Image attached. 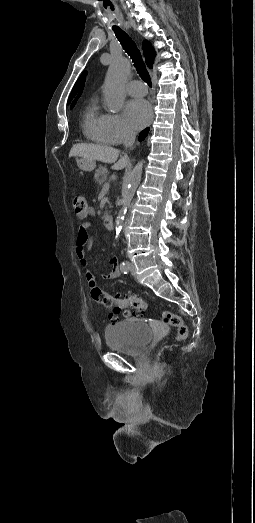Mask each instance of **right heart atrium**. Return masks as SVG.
<instances>
[{
	"instance_id": "right-heart-atrium-1",
	"label": "right heart atrium",
	"mask_w": 255,
	"mask_h": 523,
	"mask_svg": "<svg viewBox=\"0 0 255 523\" xmlns=\"http://www.w3.org/2000/svg\"><path fill=\"white\" fill-rule=\"evenodd\" d=\"M111 118L113 129L118 138L128 139L134 135L133 129L129 126L121 114H113L111 115Z\"/></svg>"
}]
</instances>
